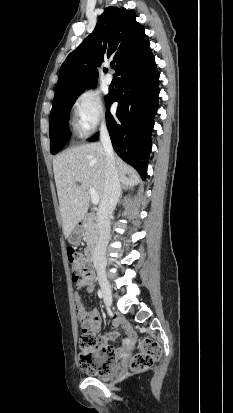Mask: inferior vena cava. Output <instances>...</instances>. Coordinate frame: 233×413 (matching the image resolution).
Returning <instances> with one entry per match:
<instances>
[{
	"instance_id": "1",
	"label": "inferior vena cava",
	"mask_w": 233,
	"mask_h": 413,
	"mask_svg": "<svg viewBox=\"0 0 233 413\" xmlns=\"http://www.w3.org/2000/svg\"><path fill=\"white\" fill-rule=\"evenodd\" d=\"M100 141L106 154L107 166L103 196L97 212L99 237L93 252V264L97 273L103 274L106 268V248L110 240V218L118 203L121 188L112 143L105 122L101 125Z\"/></svg>"
}]
</instances>
